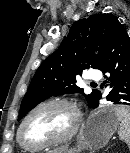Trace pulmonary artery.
Wrapping results in <instances>:
<instances>
[{
  "mask_svg": "<svg viewBox=\"0 0 130 153\" xmlns=\"http://www.w3.org/2000/svg\"><path fill=\"white\" fill-rule=\"evenodd\" d=\"M89 80L92 81L93 83L101 80L102 78V74L99 70H93V71H90L89 73Z\"/></svg>",
  "mask_w": 130,
  "mask_h": 153,
  "instance_id": "e3ab8cb5",
  "label": "pulmonary artery"
}]
</instances>
